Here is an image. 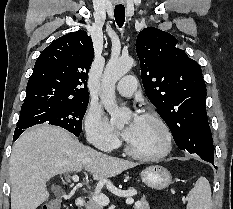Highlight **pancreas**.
I'll list each match as a JSON object with an SVG mask.
<instances>
[{
	"mask_svg": "<svg viewBox=\"0 0 233 209\" xmlns=\"http://www.w3.org/2000/svg\"><path fill=\"white\" fill-rule=\"evenodd\" d=\"M86 209H103V205L98 204L95 202L93 199H90L86 204H85ZM135 209H150L148 201L146 200L145 197H142L135 205Z\"/></svg>",
	"mask_w": 233,
	"mask_h": 209,
	"instance_id": "1",
	"label": "pancreas"
}]
</instances>
